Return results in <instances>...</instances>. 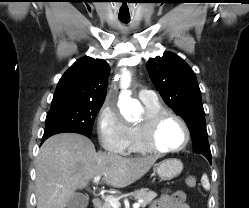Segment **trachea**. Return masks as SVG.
<instances>
[{"instance_id": "1", "label": "trachea", "mask_w": 249, "mask_h": 208, "mask_svg": "<svg viewBox=\"0 0 249 208\" xmlns=\"http://www.w3.org/2000/svg\"><path fill=\"white\" fill-rule=\"evenodd\" d=\"M123 23H128L129 20L128 19H120Z\"/></svg>"}]
</instances>
